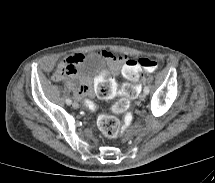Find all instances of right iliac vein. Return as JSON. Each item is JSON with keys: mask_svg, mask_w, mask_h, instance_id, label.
<instances>
[{"mask_svg": "<svg viewBox=\"0 0 215 183\" xmlns=\"http://www.w3.org/2000/svg\"><path fill=\"white\" fill-rule=\"evenodd\" d=\"M72 107L74 109H77V108H79V104L77 102H73Z\"/></svg>", "mask_w": 215, "mask_h": 183, "instance_id": "63e3f726", "label": "right iliac vein"}]
</instances>
